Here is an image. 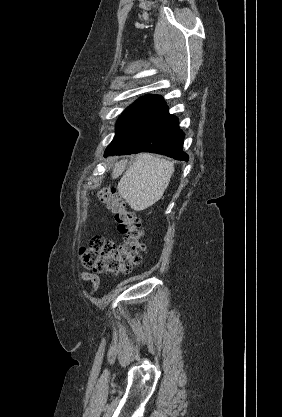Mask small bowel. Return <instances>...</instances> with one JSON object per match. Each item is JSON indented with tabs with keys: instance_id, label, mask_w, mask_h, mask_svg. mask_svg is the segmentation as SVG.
I'll list each match as a JSON object with an SVG mask.
<instances>
[{
	"instance_id": "c3829d8e",
	"label": "small bowel",
	"mask_w": 282,
	"mask_h": 417,
	"mask_svg": "<svg viewBox=\"0 0 282 417\" xmlns=\"http://www.w3.org/2000/svg\"><path fill=\"white\" fill-rule=\"evenodd\" d=\"M78 276L79 278L84 281V282H88L91 284V289L88 291V295L89 296H93L99 285H100V278L98 275L94 274V273H90L84 270H80L78 272Z\"/></svg>"
}]
</instances>
